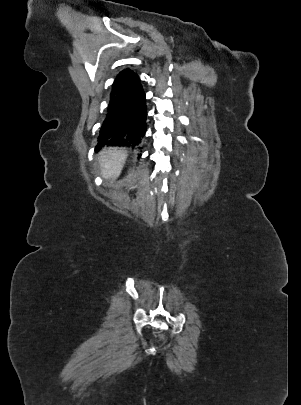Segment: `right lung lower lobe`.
<instances>
[{"label":"right lung lower lobe","instance_id":"obj_1","mask_svg":"<svg viewBox=\"0 0 301 405\" xmlns=\"http://www.w3.org/2000/svg\"><path fill=\"white\" fill-rule=\"evenodd\" d=\"M146 116L145 93L139 76L129 69L123 70L113 83L96 148L104 145L136 147L145 136Z\"/></svg>","mask_w":301,"mask_h":405}]
</instances>
